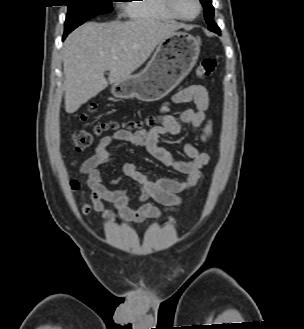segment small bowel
<instances>
[{
  "mask_svg": "<svg viewBox=\"0 0 304 329\" xmlns=\"http://www.w3.org/2000/svg\"><path fill=\"white\" fill-rule=\"evenodd\" d=\"M187 102H193L195 108L184 110L178 118L172 116V104ZM209 105L210 99L206 88L202 85H192L174 94L169 102L161 106L159 115L162 117V122L159 126L148 131L136 132L120 129L102 137L95 146L94 154L79 167V171L87 176L86 190L81 194L82 213L87 216L94 210L109 220L119 218L124 222H143L147 219H159L179 206L181 203L179 193L193 188L199 182L202 169L209 163L210 157L188 141L183 146L184 154L188 159H177L160 145V140L162 136H178L186 125H190V138L199 134L202 141H208L213 130V121L206 115ZM114 142L144 146L161 164L185 175L186 178L184 180L170 177L152 179L133 163L124 161L118 177L105 179L99 167L117 160L109 152V147ZM123 179L134 182L139 190L136 197L131 196L124 186L114 190L108 188L118 185ZM87 192L92 205L86 202ZM150 199L165 208L163 210L157 208L148 202ZM104 202L112 203L119 211V216L106 210ZM134 204L140 205L138 208H133Z\"/></svg>",
  "mask_w": 304,
  "mask_h": 329,
  "instance_id": "1",
  "label": "small bowel"
}]
</instances>
